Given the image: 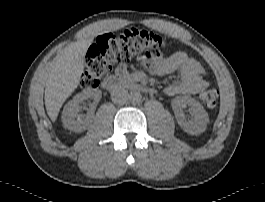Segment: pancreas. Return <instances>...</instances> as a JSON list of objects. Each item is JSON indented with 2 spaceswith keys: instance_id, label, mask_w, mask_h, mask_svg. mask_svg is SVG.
I'll list each match as a JSON object with an SVG mask.
<instances>
[{
  "instance_id": "cf45deb5",
  "label": "pancreas",
  "mask_w": 265,
  "mask_h": 202,
  "mask_svg": "<svg viewBox=\"0 0 265 202\" xmlns=\"http://www.w3.org/2000/svg\"><path fill=\"white\" fill-rule=\"evenodd\" d=\"M125 78L127 81H133L132 76L130 74H126Z\"/></svg>"
}]
</instances>
